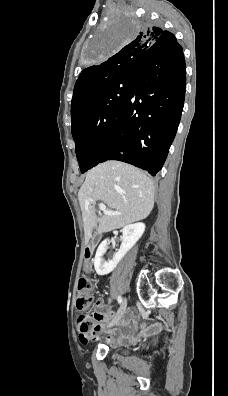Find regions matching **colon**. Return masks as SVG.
Returning a JSON list of instances; mask_svg holds the SVG:
<instances>
[{
  "label": "colon",
  "instance_id": "obj_1",
  "mask_svg": "<svg viewBox=\"0 0 228 396\" xmlns=\"http://www.w3.org/2000/svg\"><path fill=\"white\" fill-rule=\"evenodd\" d=\"M78 295L76 305L81 314L78 318V326L81 333H89L95 325L97 313L92 310L93 284L90 278L83 276L78 282ZM99 307V304H98Z\"/></svg>",
  "mask_w": 228,
  "mask_h": 396
}]
</instances>
